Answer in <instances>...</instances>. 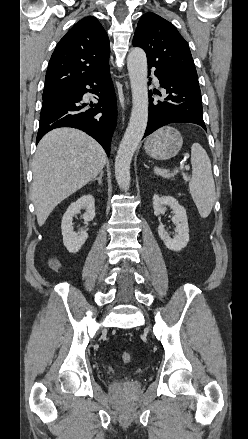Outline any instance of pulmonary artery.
<instances>
[{
  "label": "pulmonary artery",
  "mask_w": 248,
  "mask_h": 439,
  "mask_svg": "<svg viewBox=\"0 0 248 439\" xmlns=\"http://www.w3.org/2000/svg\"><path fill=\"white\" fill-rule=\"evenodd\" d=\"M154 80H155V82H156V83H158V80H157V78H156V77H154Z\"/></svg>",
  "instance_id": "1"
}]
</instances>
